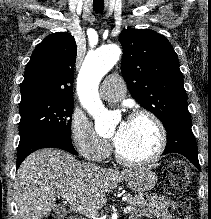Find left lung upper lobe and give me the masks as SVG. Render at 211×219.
Masks as SVG:
<instances>
[{
    "label": "left lung upper lobe",
    "instance_id": "1",
    "mask_svg": "<svg viewBox=\"0 0 211 219\" xmlns=\"http://www.w3.org/2000/svg\"><path fill=\"white\" fill-rule=\"evenodd\" d=\"M121 72L132 97L159 118L164 127L191 117L179 60L170 42L147 29L121 31Z\"/></svg>",
    "mask_w": 211,
    "mask_h": 219
}]
</instances>
